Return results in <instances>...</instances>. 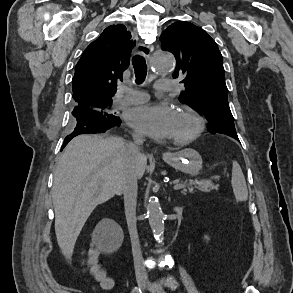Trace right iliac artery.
<instances>
[{
	"label": "right iliac artery",
	"instance_id": "right-iliac-artery-1",
	"mask_svg": "<svg viewBox=\"0 0 293 293\" xmlns=\"http://www.w3.org/2000/svg\"><path fill=\"white\" fill-rule=\"evenodd\" d=\"M132 293H141L140 288L135 287Z\"/></svg>",
	"mask_w": 293,
	"mask_h": 293
}]
</instances>
